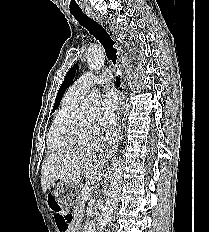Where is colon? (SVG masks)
Wrapping results in <instances>:
<instances>
[{
    "instance_id": "1",
    "label": "colon",
    "mask_w": 209,
    "mask_h": 232,
    "mask_svg": "<svg viewBox=\"0 0 209 232\" xmlns=\"http://www.w3.org/2000/svg\"><path fill=\"white\" fill-rule=\"evenodd\" d=\"M46 202L48 206H52L51 210L55 213V221L57 226L61 229L67 228L72 222V215L60 208L57 205V201H55V197H53L52 193L46 194Z\"/></svg>"
}]
</instances>
